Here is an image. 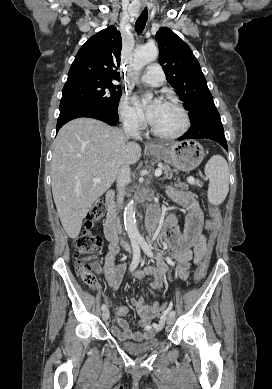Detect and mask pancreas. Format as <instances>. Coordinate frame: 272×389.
<instances>
[{"instance_id": "pancreas-1", "label": "pancreas", "mask_w": 272, "mask_h": 389, "mask_svg": "<svg viewBox=\"0 0 272 389\" xmlns=\"http://www.w3.org/2000/svg\"><path fill=\"white\" fill-rule=\"evenodd\" d=\"M161 169L164 171V174H165V177L164 178H167V179H169V178H171L172 177V170H171V168L168 166V165H163L162 167H161ZM188 181V183H190V184H197V185H200V183H199V181H196L195 182V180L193 181V182H190L189 181V179L187 180ZM178 186L179 187H181L182 189H188V184H186V183H178Z\"/></svg>"}]
</instances>
